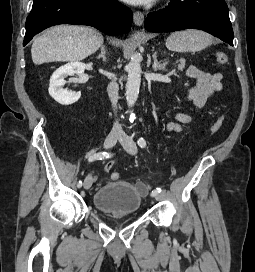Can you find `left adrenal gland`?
I'll return each instance as SVG.
<instances>
[{
  "mask_svg": "<svg viewBox=\"0 0 255 272\" xmlns=\"http://www.w3.org/2000/svg\"><path fill=\"white\" fill-rule=\"evenodd\" d=\"M152 57H153V60H154L153 65H152L153 70L154 71H158V70L165 71V67H166L168 61H164L163 63L158 62V60H157V52H155L152 55Z\"/></svg>",
  "mask_w": 255,
  "mask_h": 272,
  "instance_id": "1",
  "label": "left adrenal gland"
}]
</instances>
